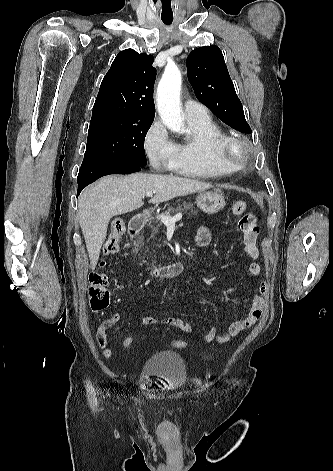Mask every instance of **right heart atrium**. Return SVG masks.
Wrapping results in <instances>:
<instances>
[{"label":"right heart atrium","instance_id":"obj_1","mask_svg":"<svg viewBox=\"0 0 333 471\" xmlns=\"http://www.w3.org/2000/svg\"><path fill=\"white\" fill-rule=\"evenodd\" d=\"M143 147L154 168L170 167L175 152V143L160 120L156 119L146 131Z\"/></svg>","mask_w":333,"mask_h":471}]
</instances>
